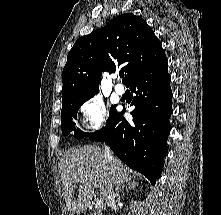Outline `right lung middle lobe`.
<instances>
[{
  "label": "right lung middle lobe",
  "mask_w": 221,
  "mask_h": 215,
  "mask_svg": "<svg viewBox=\"0 0 221 215\" xmlns=\"http://www.w3.org/2000/svg\"><path fill=\"white\" fill-rule=\"evenodd\" d=\"M85 101L86 100H81V101H75V102L62 104L61 128H62V133L64 135H68L71 131H74V137L77 139H81L84 137H91L92 135L98 134L101 131L105 130L107 127H109L118 114L115 110V106H112L110 109L109 118L106 122V124H107L106 127H103L100 130L95 131L94 133H85L80 129H76L75 123L72 121L73 119L77 118V112H78L80 106Z\"/></svg>",
  "instance_id": "dd1d6c3e"
}]
</instances>
